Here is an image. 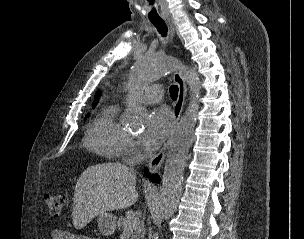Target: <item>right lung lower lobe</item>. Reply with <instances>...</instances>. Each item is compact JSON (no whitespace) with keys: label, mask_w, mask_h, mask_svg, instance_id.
<instances>
[{"label":"right lung lower lobe","mask_w":304,"mask_h":239,"mask_svg":"<svg viewBox=\"0 0 304 239\" xmlns=\"http://www.w3.org/2000/svg\"><path fill=\"white\" fill-rule=\"evenodd\" d=\"M149 177H150V179L152 180V181H154V182H159V177H158V175H153V176H151V175H149V174H147Z\"/></svg>","instance_id":"98d812e1"}]
</instances>
